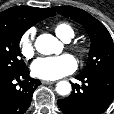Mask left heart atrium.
I'll return each instance as SVG.
<instances>
[{
	"mask_svg": "<svg viewBox=\"0 0 114 114\" xmlns=\"http://www.w3.org/2000/svg\"><path fill=\"white\" fill-rule=\"evenodd\" d=\"M76 60L69 54L41 57L31 65L34 76L44 80H56L74 72Z\"/></svg>",
	"mask_w": 114,
	"mask_h": 114,
	"instance_id": "39dd6f15",
	"label": "left heart atrium"
}]
</instances>
